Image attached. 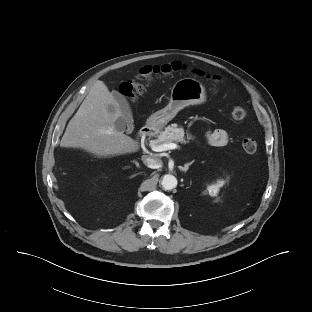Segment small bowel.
Here are the masks:
<instances>
[{
	"label": "small bowel",
	"instance_id": "obj_1",
	"mask_svg": "<svg viewBox=\"0 0 312 312\" xmlns=\"http://www.w3.org/2000/svg\"><path fill=\"white\" fill-rule=\"evenodd\" d=\"M229 132L224 129H216L213 131H206L205 138L207 142L213 146H224L229 140Z\"/></svg>",
	"mask_w": 312,
	"mask_h": 312
}]
</instances>
